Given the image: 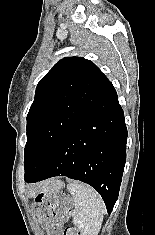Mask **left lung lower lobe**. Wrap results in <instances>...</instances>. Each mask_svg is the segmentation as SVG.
Returning <instances> with one entry per match:
<instances>
[{
  "label": "left lung lower lobe",
  "mask_w": 155,
  "mask_h": 235,
  "mask_svg": "<svg viewBox=\"0 0 155 235\" xmlns=\"http://www.w3.org/2000/svg\"><path fill=\"white\" fill-rule=\"evenodd\" d=\"M127 128L112 84L91 110L65 135L27 183L64 175L91 185L110 214L119 194L126 161Z\"/></svg>",
  "instance_id": "1"
}]
</instances>
